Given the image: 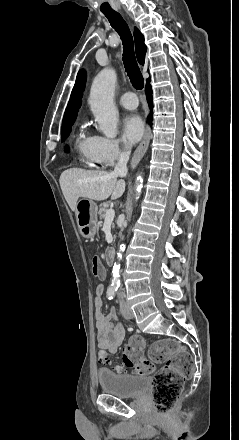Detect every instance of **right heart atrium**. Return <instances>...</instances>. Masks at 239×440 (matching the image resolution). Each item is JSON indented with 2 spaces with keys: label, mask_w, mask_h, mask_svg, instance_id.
I'll list each match as a JSON object with an SVG mask.
<instances>
[{
  "label": "right heart atrium",
  "mask_w": 239,
  "mask_h": 440,
  "mask_svg": "<svg viewBox=\"0 0 239 440\" xmlns=\"http://www.w3.org/2000/svg\"><path fill=\"white\" fill-rule=\"evenodd\" d=\"M91 150L101 165L111 166L123 153L124 147L115 139L93 135L91 136Z\"/></svg>",
  "instance_id": "d8ad5b80"
}]
</instances>
